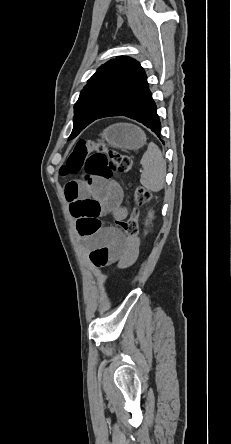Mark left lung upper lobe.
<instances>
[{"label":"left lung upper lobe","instance_id":"5c2ea615","mask_svg":"<svg viewBox=\"0 0 231 444\" xmlns=\"http://www.w3.org/2000/svg\"><path fill=\"white\" fill-rule=\"evenodd\" d=\"M145 82L143 68L130 57H117L103 64L88 80L74 105V127L69 139L94 120L115 115Z\"/></svg>","mask_w":231,"mask_h":444}]
</instances>
